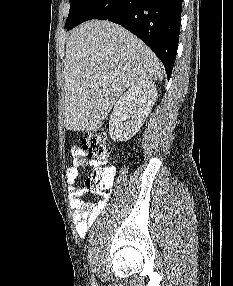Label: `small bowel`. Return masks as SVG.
I'll return each mask as SVG.
<instances>
[{"label": "small bowel", "instance_id": "obj_1", "mask_svg": "<svg viewBox=\"0 0 233 286\" xmlns=\"http://www.w3.org/2000/svg\"><path fill=\"white\" fill-rule=\"evenodd\" d=\"M72 166L67 170L69 190V204L72 208V219L80 237H84L88 227L96 220L106 206L108 194L102 191L91 190L94 195H99L100 200L91 202L86 200L88 189L79 183V168L96 166L99 162L91 160L79 147L72 148ZM115 174V168L110 167Z\"/></svg>", "mask_w": 233, "mask_h": 286}]
</instances>
